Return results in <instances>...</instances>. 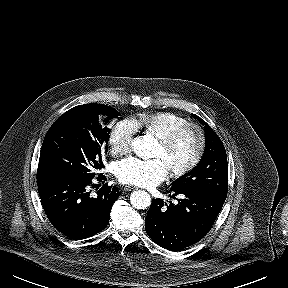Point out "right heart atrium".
<instances>
[{"label":"right heart atrium","instance_id":"right-heart-atrium-1","mask_svg":"<svg viewBox=\"0 0 288 288\" xmlns=\"http://www.w3.org/2000/svg\"><path fill=\"white\" fill-rule=\"evenodd\" d=\"M136 126L130 119L117 122L109 135V143L114 154H125L130 151Z\"/></svg>","mask_w":288,"mask_h":288}]
</instances>
